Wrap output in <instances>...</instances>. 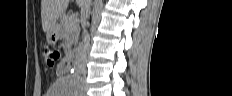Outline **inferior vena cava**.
Listing matches in <instances>:
<instances>
[{
    "mask_svg": "<svg viewBox=\"0 0 232 96\" xmlns=\"http://www.w3.org/2000/svg\"><path fill=\"white\" fill-rule=\"evenodd\" d=\"M90 6H91V0H83L82 5H81V17L83 19L88 18L90 14ZM83 41L84 44L81 47V56L82 58H85L87 55V52L90 49V37L89 34L85 28V24H83Z\"/></svg>",
    "mask_w": 232,
    "mask_h": 96,
    "instance_id": "inferior-vena-cava-1",
    "label": "inferior vena cava"
}]
</instances>
